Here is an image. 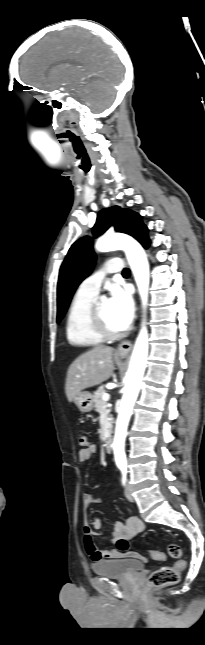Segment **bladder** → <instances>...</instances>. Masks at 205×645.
Instances as JSON below:
<instances>
[{"label": "bladder", "mask_w": 205, "mask_h": 645, "mask_svg": "<svg viewBox=\"0 0 205 645\" xmlns=\"http://www.w3.org/2000/svg\"><path fill=\"white\" fill-rule=\"evenodd\" d=\"M145 567L143 561L133 558L109 559L95 562L92 571L100 576L127 578Z\"/></svg>", "instance_id": "bladder-1"}]
</instances>
